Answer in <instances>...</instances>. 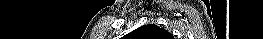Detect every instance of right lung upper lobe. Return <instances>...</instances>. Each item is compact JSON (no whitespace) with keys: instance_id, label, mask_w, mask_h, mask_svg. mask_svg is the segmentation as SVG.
Returning <instances> with one entry per match:
<instances>
[{"instance_id":"cb5924a9","label":"right lung upper lobe","mask_w":263,"mask_h":39,"mask_svg":"<svg viewBox=\"0 0 263 39\" xmlns=\"http://www.w3.org/2000/svg\"><path fill=\"white\" fill-rule=\"evenodd\" d=\"M131 39H173V36L157 25H144L128 34Z\"/></svg>"}]
</instances>
